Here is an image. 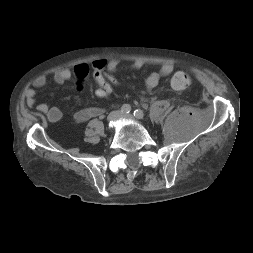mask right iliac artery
I'll return each instance as SVG.
<instances>
[{"label": "right iliac artery", "mask_w": 253, "mask_h": 253, "mask_svg": "<svg viewBox=\"0 0 253 253\" xmlns=\"http://www.w3.org/2000/svg\"><path fill=\"white\" fill-rule=\"evenodd\" d=\"M131 111V106L129 104H123L121 107V112L123 114H128Z\"/></svg>", "instance_id": "obj_1"}]
</instances>
